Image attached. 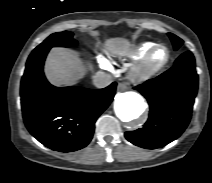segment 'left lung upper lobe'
Returning <instances> with one entry per match:
<instances>
[{"label": "left lung upper lobe", "instance_id": "left-lung-upper-lobe-1", "mask_svg": "<svg viewBox=\"0 0 212 183\" xmlns=\"http://www.w3.org/2000/svg\"><path fill=\"white\" fill-rule=\"evenodd\" d=\"M168 35L173 42L174 49L177 50L182 45L183 41L172 33H168Z\"/></svg>", "mask_w": 212, "mask_h": 183}]
</instances>
